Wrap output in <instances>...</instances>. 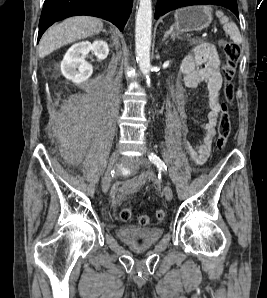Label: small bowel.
Listing matches in <instances>:
<instances>
[{"label": "small bowel", "instance_id": "c3829d8e", "mask_svg": "<svg viewBox=\"0 0 267 298\" xmlns=\"http://www.w3.org/2000/svg\"><path fill=\"white\" fill-rule=\"evenodd\" d=\"M220 58L212 44L197 46L192 54L187 55L181 65L184 84L188 88H196L201 83H206L209 111L207 122L202 125L203 139L190 150L197 164H204L210 156L216 125L221 110L219 92L222 87V76L219 72ZM134 186L137 183L133 184Z\"/></svg>", "mask_w": 267, "mask_h": 298}]
</instances>
